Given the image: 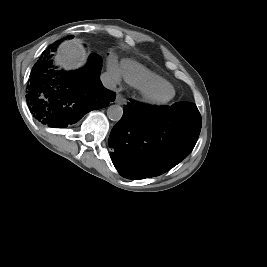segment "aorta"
<instances>
[{"mask_svg":"<svg viewBox=\"0 0 267 267\" xmlns=\"http://www.w3.org/2000/svg\"><path fill=\"white\" fill-rule=\"evenodd\" d=\"M123 115V108L120 105H111L107 109V117L112 121H119Z\"/></svg>","mask_w":267,"mask_h":267,"instance_id":"1","label":"aorta"}]
</instances>
